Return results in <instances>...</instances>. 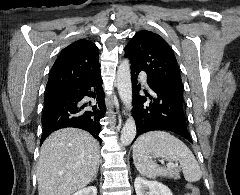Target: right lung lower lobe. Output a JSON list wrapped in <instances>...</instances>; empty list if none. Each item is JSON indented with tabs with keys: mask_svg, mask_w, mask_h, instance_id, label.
<instances>
[{
	"mask_svg": "<svg viewBox=\"0 0 240 195\" xmlns=\"http://www.w3.org/2000/svg\"><path fill=\"white\" fill-rule=\"evenodd\" d=\"M87 96L93 100L88 101ZM104 97L101 75L76 86L46 90L40 143L53 131L66 127L86 130L101 142V120L106 112Z\"/></svg>",
	"mask_w": 240,
	"mask_h": 195,
	"instance_id": "obj_1",
	"label": "right lung lower lobe"
}]
</instances>
